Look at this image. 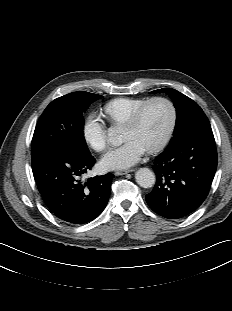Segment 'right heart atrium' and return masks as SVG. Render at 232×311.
I'll use <instances>...</instances> for the list:
<instances>
[{"instance_id":"obj_1","label":"right heart atrium","mask_w":232,"mask_h":311,"mask_svg":"<svg viewBox=\"0 0 232 311\" xmlns=\"http://www.w3.org/2000/svg\"><path fill=\"white\" fill-rule=\"evenodd\" d=\"M85 142L95 151H104L108 146L107 131L103 121L96 114L87 116L82 127Z\"/></svg>"}]
</instances>
